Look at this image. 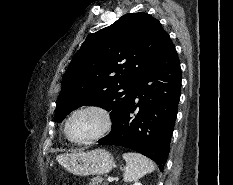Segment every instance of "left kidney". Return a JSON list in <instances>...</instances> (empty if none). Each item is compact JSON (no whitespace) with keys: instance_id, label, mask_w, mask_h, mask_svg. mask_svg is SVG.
<instances>
[{"instance_id":"5707ae66","label":"left kidney","mask_w":233,"mask_h":185,"mask_svg":"<svg viewBox=\"0 0 233 185\" xmlns=\"http://www.w3.org/2000/svg\"><path fill=\"white\" fill-rule=\"evenodd\" d=\"M133 185H142V184L139 182H135Z\"/></svg>"}]
</instances>
